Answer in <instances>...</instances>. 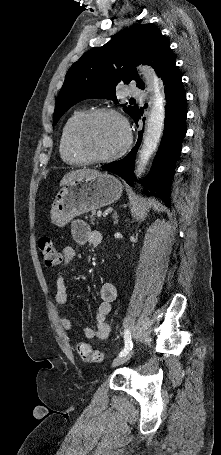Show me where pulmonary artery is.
<instances>
[{
  "instance_id": "1",
  "label": "pulmonary artery",
  "mask_w": 221,
  "mask_h": 455,
  "mask_svg": "<svg viewBox=\"0 0 221 455\" xmlns=\"http://www.w3.org/2000/svg\"><path fill=\"white\" fill-rule=\"evenodd\" d=\"M127 93L129 96H133V97L144 96V92L140 88H138L134 85L129 86V88L127 89Z\"/></svg>"
}]
</instances>
